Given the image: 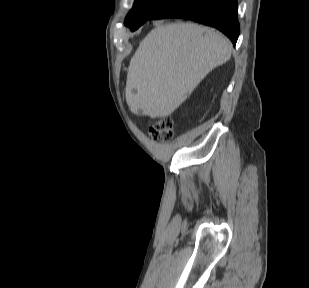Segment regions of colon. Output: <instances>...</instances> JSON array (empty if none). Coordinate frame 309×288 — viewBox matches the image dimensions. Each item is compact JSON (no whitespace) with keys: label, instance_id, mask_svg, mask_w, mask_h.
I'll return each mask as SVG.
<instances>
[{"label":"colon","instance_id":"5ec220e1","mask_svg":"<svg viewBox=\"0 0 309 288\" xmlns=\"http://www.w3.org/2000/svg\"><path fill=\"white\" fill-rule=\"evenodd\" d=\"M150 136L160 142H168L173 137V122L169 117H161L150 123Z\"/></svg>","mask_w":309,"mask_h":288}]
</instances>
